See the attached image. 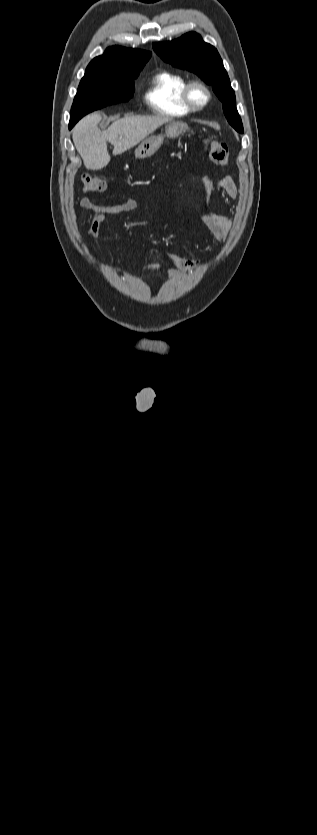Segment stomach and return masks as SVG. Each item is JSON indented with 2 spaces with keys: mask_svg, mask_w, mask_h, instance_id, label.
<instances>
[{
  "mask_svg": "<svg viewBox=\"0 0 317 835\" xmlns=\"http://www.w3.org/2000/svg\"><path fill=\"white\" fill-rule=\"evenodd\" d=\"M163 130L165 131L164 135L162 133L159 135H151L138 146L135 151L136 158L144 159L152 156L159 149L164 136L170 138L178 137L188 131L189 127L184 122L172 121L166 123Z\"/></svg>",
  "mask_w": 317,
  "mask_h": 835,
  "instance_id": "obj_1",
  "label": "stomach"
}]
</instances>
